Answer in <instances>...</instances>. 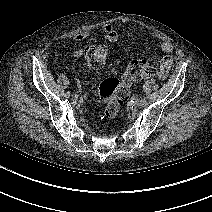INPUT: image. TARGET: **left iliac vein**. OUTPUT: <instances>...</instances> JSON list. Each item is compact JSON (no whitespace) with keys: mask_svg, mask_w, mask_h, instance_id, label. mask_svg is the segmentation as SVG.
<instances>
[{"mask_svg":"<svg viewBox=\"0 0 212 212\" xmlns=\"http://www.w3.org/2000/svg\"><path fill=\"white\" fill-rule=\"evenodd\" d=\"M134 106L135 107L141 106V100L140 99H135L134 100Z\"/></svg>","mask_w":212,"mask_h":212,"instance_id":"left-iliac-vein-1","label":"left iliac vein"}]
</instances>
